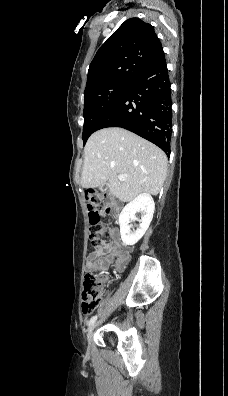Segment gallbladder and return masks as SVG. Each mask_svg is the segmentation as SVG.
<instances>
[{
    "instance_id": "bac80fb5",
    "label": "gallbladder",
    "mask_w": 228,
    "mask_h": 396,
    "mask_svg": "<svg viewBox=\"0 0 228 396\" xmlns=\"http://www.w3.org/2000/svg\"><path fill=\"white\" fill-rule=\"evenodd\" d=\"M108 187H107V184H104V185H101L100 186V190H106Z\"/></svg>"
}]
</instances>
